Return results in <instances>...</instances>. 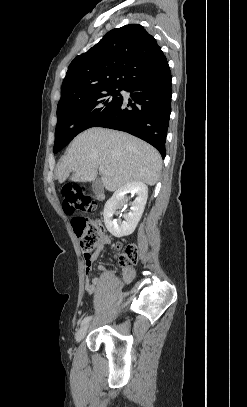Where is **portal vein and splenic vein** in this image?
<instances>
[{
  "mask_svg": "<svg viewBox=\"0 0 247 407\" xmlns=\"http://www.w3.org/2000/svg\"><path fill=\"white\" fill-rule=\"evenodd\" d=\"M99 172H100V173H103L104 171H103V169H102V168H100V169H99Z\"/></svg>",
  "mask_w": 247,
  "mask_h": 407,
  "instance_id": "1",
  "label": "portal vein and splenic vein"
}]
</instances>
